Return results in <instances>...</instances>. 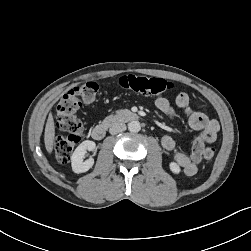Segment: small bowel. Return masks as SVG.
I'll return each mask as SVG.
<instances>
[{"label": "small bowel", "instance_id": "obj_1", "mask_svg": "<svg viewBox=\"0 0 251 251\" xmlns=\"http://www.w3.org/2000/svg\"><path fill=\"white\" fill-rule=\"evenodd\" d=\"M154 103L159 111L170 118L175 119L177 117L175 109L167 98L158 97ZM175 105L185 114L190 127L200 131V134L195 139L190 154L178 151L175 140L168 135L161 139V145L166 151L172 153L173 160L180 166L185 175L194 176L202 160L205 144L213 143L217 139L219 124L215 119L210 118L203 108L192 109L190 97L185 92H181L176 96Z\"/></svg>", "mask_w": 251, "mask_h": 251}]
</instances>
